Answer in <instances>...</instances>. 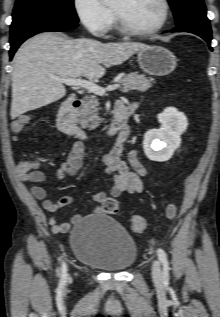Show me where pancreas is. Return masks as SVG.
<instances>
[{
  "label": "pancreas",
  "mask_w": 220,
  "mask_h": 317,
  "mask_svg": "<svg viewBox=\"0 0 220 317\" xmlns=\"http://www.w3.org/2000/svg\"><path fill=\"white\" fill-rule=\"evenodd\" d=\"M152 82H154L153 78L138 74V72H132L120 80L123 85L121 91L124 93L130 90L145 92L152 87ZM98 106L99 102L95 95L83 100L82 109L78 114V123L82 128L93 130L99 125L101 119L98 116Z\"/></svg>",
  "instance_id": "obj_1"
}]
</instances>
